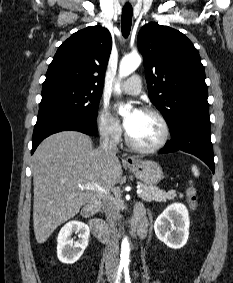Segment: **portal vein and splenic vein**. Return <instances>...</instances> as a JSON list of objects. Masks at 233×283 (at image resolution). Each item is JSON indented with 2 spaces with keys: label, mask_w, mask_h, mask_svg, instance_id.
<instances>
[{
  "label": "portal vein and splenic vein",
  "mask_w": 233,
  "mask_h": 283,
  "mask_svg": "<svg viewBox=\"0 0 233 283\" xmlns=\"http://www.w3.org/2000/svg\"><path fill=\"white\" fill-rule=\"evenodd\" d=\"M80 187L82 189L99 191V192L105 193V194H107V192H108L106 189L102 188L101 186H99L95 183H86V184L80 185ZM142 192H143V190L141 188L137 189V194H141Z\"/></svg>",
  "instance_id": "18ae733b"
}]
</instances>
